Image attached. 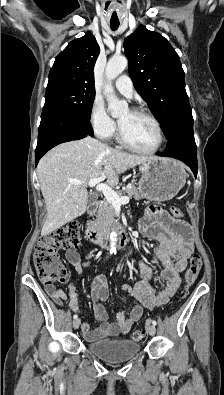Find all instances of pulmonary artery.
I'll return each mask as SVG.
<instances>
[{
  "mask_svg": "<svg viewBox=\"0 0 224 395\" xmlns=\"http://www.w3.org/2000/svg\"><path fill=\"white\" fill-rule=\"evenodd\" d=\"M117 90L126 97H132L134 89L131 79L127 75H121L115 81Z\"/></svg>",
  "mask_w": 224,
  "mask_h": 395,
  "instance_id": "pulmonary-artery-1",
  "label": "pulmonary artery"
}]
</instances>
